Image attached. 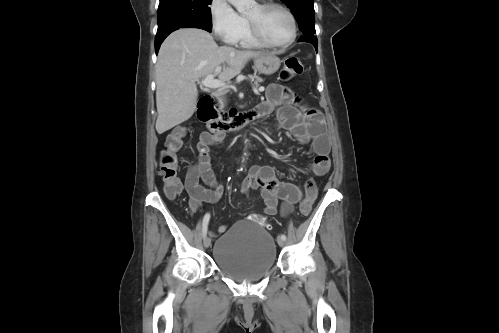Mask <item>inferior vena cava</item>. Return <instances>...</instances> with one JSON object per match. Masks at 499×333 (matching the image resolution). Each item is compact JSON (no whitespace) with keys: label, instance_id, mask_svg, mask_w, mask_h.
<instances>
[{"label":"inferior vena cava","instance_id":"1","mask_svg":"<svg viewBox=\"0 0 499 333\" xmlns=\"http://www.w3.org/2000/svg\"><path fill=\"white\" fill-rule=\"evenodd\" d=\"M220 107L222 108L223 107V102L220 100Z\"/></svg>","mask_w":499,"mask_h":333}]
</instances>
